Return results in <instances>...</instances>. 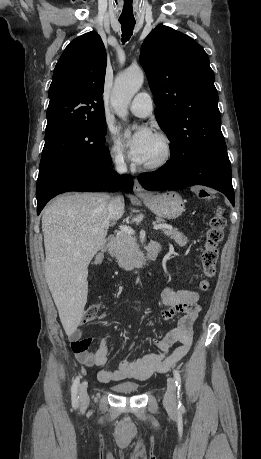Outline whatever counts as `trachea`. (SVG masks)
Masks as SVG:
<instances>
[{
	"mask_svg": "<svg viewBox=\"0 0 261 459\" xmlns=\"http://www.w3.org/2000/svg\"><path fill=\"white\" fill-rule=\"evenodd\" d=\"M122 27V42H127L133 34L135 20H120Z\"/></svg>",
	"mask_w": 261,
	"mask_h": 459,
	"instance_id": "1",
	"label": "trachea"
}]
</instances>
